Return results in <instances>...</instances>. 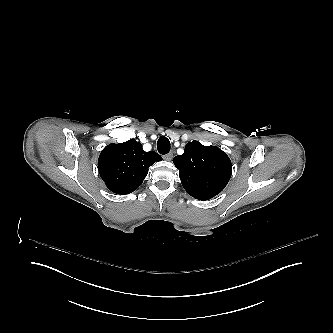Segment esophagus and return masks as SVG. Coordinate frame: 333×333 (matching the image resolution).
Segmentation results:
<instances>
[{
    "instance_id": "1",
    "label": "esophagus",
    "mask_w": 333,
    "mask_h": 333,
    "mask_svg": "<svg viewBox=\"0 0 333 333\" xmlns=\"http://www.w3.org/2000/svg\"><path fill=\"white\" fill-rule=\"evenodd\" d=\"M172 157H173V153L172 152H170V153H168V154H166V155L163 156L164 160H166V161H170L172 159Z\"/></svg>"
}]
</instances>
